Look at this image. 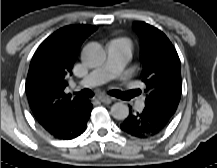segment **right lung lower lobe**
Returning <instances> with one entry per match:
<instances>
[{"instance_id": "1", "label": "right lung lower lobe", "mask_w": 217, "mask_h": 168, "mask_svg": "<svg viewBox=\"0 0 217 168\" xmlns=\"http://www.w3.org/2000/svg\"><path fill=\"white\" fill-rule=\"evenodd\" d=\"M91 111L92 104L89 101L83 109L65 115L58 124L46 131L53 137L61 140L76 138L85 131Z\"/></svg>"}]
</instances>
